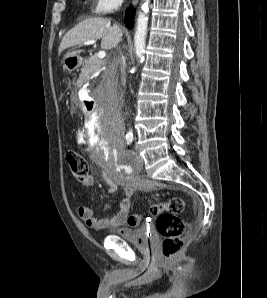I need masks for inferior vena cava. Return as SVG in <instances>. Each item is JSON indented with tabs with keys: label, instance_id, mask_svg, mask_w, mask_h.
<instances>
[{
	"label": "inferior vena cava",
	"instance_id": "602c4592",
	"mask_svg": "<svg viewBox=\"0 0 267 298\" xmlns=\"http://www.w3.org/2000/svg\"><path fill=\"white\" fill-rule=\"evenodd\" d=\"M122 2H123V0H117V4H118V5H121ZM117 60L120 61V62L124 61V58H123V56H122L121 53H120L119 56L117 57ZM121 83H122V86H123V87H124L125 84H126V74H125V69H124L123 66L121 67Z\"/></svg>",
	"mask_w": 267,
	"mask_h": 298
}]
</instances>
